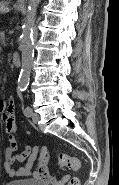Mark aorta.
I'll use <instances>...</instances> for the list:
<instances>
[{
  "mask_svg": "<svg viewBox=\"0 0 119 185\" xmlns=\"http://www.w3.org/2000/svg\"><path fill=\"white\" fill-rule=\"evenodd\" d=\"M41 0H29L28 12L26 14L25 23L22 28L20 50L22 53V68L18 78V88L26 89L30 71L33 65V32L35 27L36 12Z\"/></svg>",
  "mask_w": 119,
  "mask_h": 185,
  "instance_id": "1",
  "label": "aorta"
}]
</instances>
